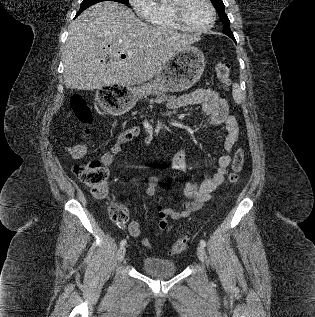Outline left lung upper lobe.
<instances>
[{
  "label": "left lung upper lobe",
  "mask_w": 315,
  "mask_h": 317,
  "mask_svg": "<svg viewBox=\"0 0 315 317\" xmlns=\"http://www.w3.org/2000/svg\"><path fill=\"white\" fill-rule=\"evenodd\" d=\"M212 4L214 5L217 13L219 14L220 19L224 23L223 33L229 37H234L232 31L230 30V21L225 14V6L222 0H211ZM233 40V39H232Z\"/></svg>",
  "instance_id": "1"
}]
</instances>
